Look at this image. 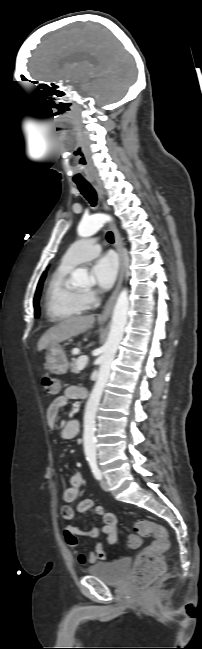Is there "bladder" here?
<instances>
[{
    "mask_svg": "<svg viewBox=\"0 0 202 649\" xmlns=\"http://www.w3.org/2000/svg\"><path fill=\"white\" fill-rule=\"evenodd\" d=\"M129 567V559L120 558L110 562H98L89 567L87 573L104 583L117 585L126 578Z\"/></svg>",
    "mask_w": 202,
    "mask_h": 649,
    "instance_id": "bladder-1",
    "label": "bladder"
}]
</instances>
